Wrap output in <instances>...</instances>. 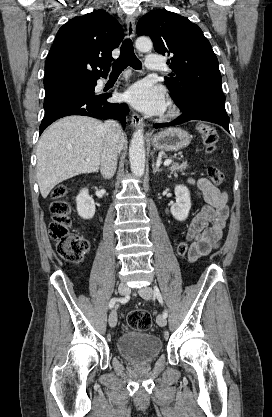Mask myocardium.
<instances>
[{
  "label": "myocardium",
  "mask_w": 272,
  "mask_h": 417,
  "mask_svg": "<svg viewBox=\"0 0 272 417\" xmlns=\"http://www.w3.org/2000/svg\"><path fill=\"white\" fill-rule=\"evenodd\" d=\"M177 115V111L175 110V108L174 107H170L169 108V110H168V112H167V114H166V116L167 117H175Z\"/></svg>",
  "instance_id": "myocardium-1"
}]
</instances>
